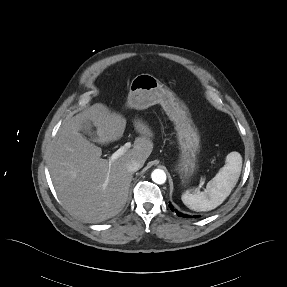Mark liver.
Returning <instances> with one entry per match:
<instances>
[{
	"label": "liver",
	"mask_w": 287,
	"mask_h": 287,
	"mask_svg": "<svg viewBox=\"0 0 287 287\" xmlns=\"http://www.w3.org/2000/svg\"><path fill=\"white\" fill-rule=\"evenodd\" d=\"M86 119L97 128L95 141L101 144L119 140L126 127V119L103 104L85 109L62 123L48 167L64 207L86 223H100L125 206L133 177L126 164L135 160L144 165L153 150V133L142 120L135 119L133 124L140 136L132 149L110 163L101 158V148L80 133Z\"/></svg>",
	"instance_id": "6515ba94"
}]
</instances>
